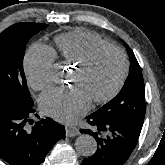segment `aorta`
<instances>
[{
    "instance_id": "obj_1",
    "label": "aorta",
    "mask_w": 165,
    "mask_h": 165,
    "mask_svg": "<svg viewBox=\"0 0 165 165\" xmlns=\"http://www.w3.org/2000/svg\"><path fill=\"white\" fill-rule=\"evenodd\" d=\"M75 148L78 154L89 157L96 152L97 142L91 135L82 134L76 139Z\"/></svg>"
}]
</instances>
